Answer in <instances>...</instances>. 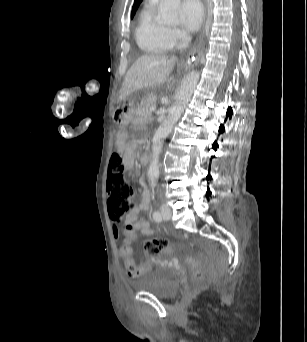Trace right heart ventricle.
<instances>
[{
    "instance_id": "obj_1",
    "label": "right heart ventricle",
    "mask_w": 307,
    "mask_h": 342,
    "mask_svg": "<svg viewBox=\"0 0 307 342\" xmlns=\"http://www.w3.org/2000/svg\"><path fill=\"white\" fill-rule=\"evenodd\" d=\"M135 42L144 56H154L166 52L167 45L153 12L147 16L145 27L136 31Z\"/></svg>"
}]
</instances>
